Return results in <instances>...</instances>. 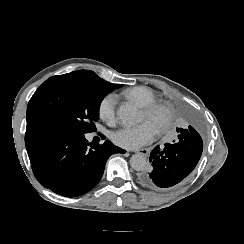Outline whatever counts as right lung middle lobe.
<instances>
[{"mask_svg": "<svg viewBox=\"0 0 244 244\" xmlns=\"http://www.w3.org/2000/svg\"><path fill=\"white\" fill-rule=\"evenodd\" d=\"M117 86L90 70L50 77L39 86L28 103L27 127L88 133L99 118L101 101Z\"/></svg>", "mask_w": 244, "mask_h": 244, "instance_id": "dd1d6c3e", "label": "right lung middle lobe"}]
</instances>
